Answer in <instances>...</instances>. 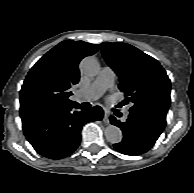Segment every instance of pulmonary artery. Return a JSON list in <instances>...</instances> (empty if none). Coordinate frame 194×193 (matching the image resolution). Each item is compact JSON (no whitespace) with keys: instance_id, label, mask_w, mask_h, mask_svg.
<instances>
[{"instance_id":"1","label":"pulmonary artery","mask_w":194,"mask_h":193,"mask_svg":"<svg viewBox=\"0 0 194 193\" xmlns=\"http://www.w3.org/2000/svg\"><path fill=\"white\" fill-rule=\"evenodd\" d=\"M115 74L114 71L106 66L100 71L97 78L93 83L78 92L79 96L83 97L84 100L93 101L98 99L108 88L114 83ZM125 114L128 115L129 111L126 110Z\"/></svg>"}]
</instances>
